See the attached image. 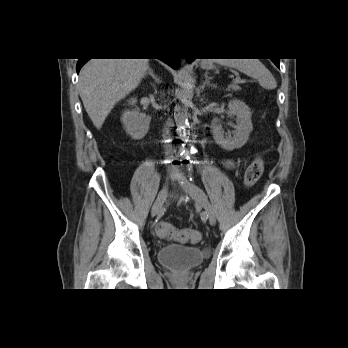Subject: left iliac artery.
Returning a JSON list of instances; mask_svg holds the SVG:
<instances>
[{
    "instance_id": "obj_1",
    "label": "left iliac artery",
    "mask_w": 348,
    "mask_h": 348,
    "mask_svg": "<svg viewBox=\"0 0 348 348\" xmlns=\"http://www.w3.org/2000/svg\"><path fill=\"white\" fill-rule=\"evenodd\" d=\"M190 181H193L192 175L190 174Z\"/></svg>"
}]
</instances>
